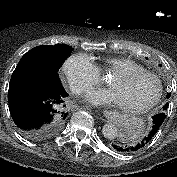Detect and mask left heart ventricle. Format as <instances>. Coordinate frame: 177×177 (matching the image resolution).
Wrapping results in <instances>:
<instances>
[{
	"mask_svg": "<svg viewBox=\"0 0 177 177\" xmlns=\"http://www.w3.org/2000/svg\"><path fill=\"white\" fill-rule=\"evenodd\" d=\"M108 85L114 90L120 105L136 106L148 101L156 90V83L149 77L120 79L110 77Z\"/></svg>",
	"mask_w": 177,
	"mask_h": 177,
	"instance_id": "obj_1",
	"label": "left heart ventricle"
}]
</instances>
